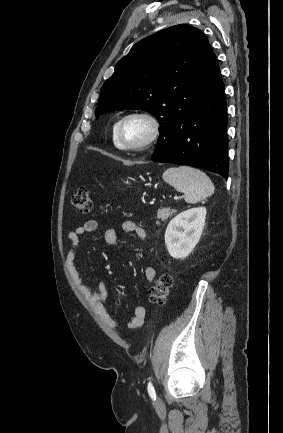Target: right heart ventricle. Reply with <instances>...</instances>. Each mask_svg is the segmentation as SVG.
<instances>
[{
    "instance_id": "1",
    "label": "right heart ventricle",
    "mask_w": 283,
    "mask_h": 433,
    "mask_svg": "<svg viewBox=\"0 0 283 433\" xmlns=\"http://www.w3.org/2000/svg\"><path fill=\"white\" fill-rule=\"evenodd\" d=\"M118 119L114 122V124H113V126H112V137H113V142H114V144L117 146V144H116V142H115V138H114V131H115V128H116V125H117V123H118ZM118 147V146H117Z\"/></svg>"
}]
</instances>
